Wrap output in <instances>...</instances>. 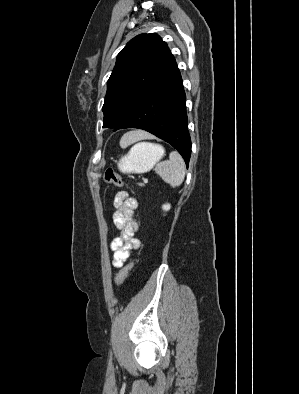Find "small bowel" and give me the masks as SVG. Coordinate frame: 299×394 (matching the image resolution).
Segmentation results:
<instances>
[{"label": "small bowel", "mask_w": 299, "mask_h": 394, "mask_svg": "<svg viewBox=\"0 0 299 394\" xmlns=\"http://www.w3.org/2000/svg\"><path fill=\"white\" fill-rule=\"evenodd\" d=\"M115 212L113 221L121 234L111 243V250L114 253L112 264L115 268H121L129 259L132 252L139 249L141 242L135 237L138 224L135 220V210L138 202L125 191L116 193L113 201Z\"/></svg>", "instance_id": "obj_1"}]
</instances>
